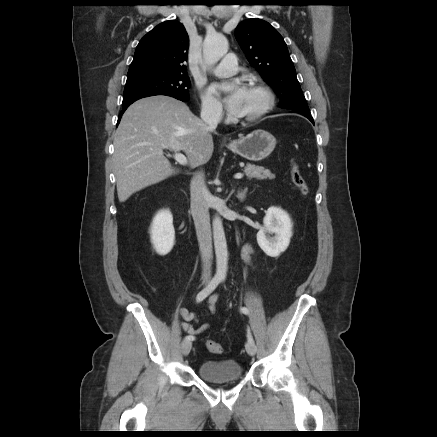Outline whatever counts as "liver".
Instances as JSON below:
<instances>
[{"mask_svg":"<svg viewBox=\"0 0 437 437\" xmlns=\"http://www.w3.org/2000/svg\"><path fill=\"white\" fill-rule=\"evenodd\" d=\"M211 132L185 103L172 97L158 95L134 102L114 137L112 162L119 201L178 173L164 149L183 151L190 168L207 163L214 149Z\"/></svg>","mask_w":437,"mask_h":437,"instance_id":"liver-1","label":"liver"}]
</instances>
